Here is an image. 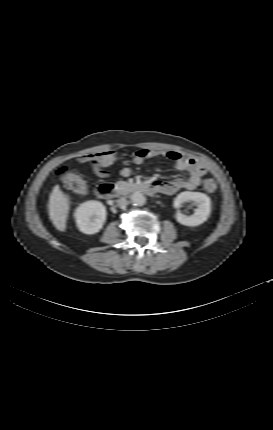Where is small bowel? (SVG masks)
I'll list each match as a JSON object with an SVG mask.
<instances>
[{
	"instance_id": "obj_1",
	"label": "small bowel",
	"mask_w": 273,
	"mask_h": 430,
	"mask_svg": "<svg viewBox=\"0 0 273 430\" xmlns=\"http://www.w3.org/2000/svg\"><path fill=\"white\" fill-rule=\"evenodd\" d=\"M167 157L175 161V166L180 171L189 173L187 178H178L173 181L157 180L153 184L158 192L166 195H173L179 190H194L201 183V178L207 173L206 166L200 161L187 157L177 151H165L161 149H140L133 156V163L141 165L150 159ZM118 155L114 151H105L97 154L83 155L79 157L80 162H88L93 165L95 173L100 177L108 175L107 168L115 164ZM132 173L130 167L121 170L123 177H129Z\"/></svg>"
}]
</instances>
